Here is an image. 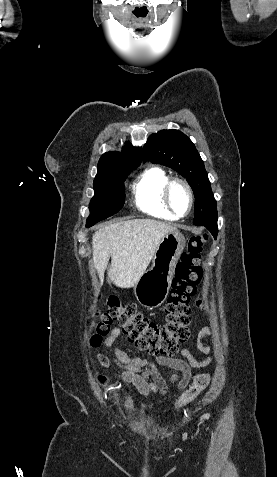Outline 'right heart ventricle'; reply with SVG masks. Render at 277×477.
<instances>
[{"label": "right heart ventricle", "instance_id": "right-heart-ventricle-1", "mask_svg": "<svg viewBox=\"0 0 277 477\" xmlns=\"http://www.w3.org/2000/svg\"><path fill=\"white\" fill-rule=\"evenodd\" d=\"M169 180V175L160 167L145 169L132 185L137 208L156 218L177 220L178 217L168 210L163 200V188Z\"/></svg>", "mask_w": 277, "mask_h": 477}]
</instances>
